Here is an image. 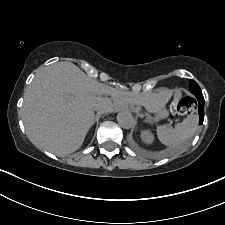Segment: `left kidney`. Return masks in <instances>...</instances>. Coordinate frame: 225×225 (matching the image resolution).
I'll return each mask as SVG.
<instances>
[{
  "label": "left kidney",
  "mask_w": 225,
  "mask_h": 225,
  "mask_svg": "<svg viewBox=\"0 0 225 225\" xmlns=\"http://www.w3.org/2000/svg\"><path fill=\"white\" fill-rule=\"evenodd\" d=\"M141 138L148 144L152 143L154 140L153 134L149 130L142 131Z\"/></svg>",
  "instance_id": "1"
}]
</instances>
